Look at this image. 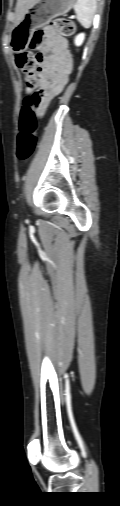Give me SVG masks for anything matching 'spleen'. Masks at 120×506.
<instances>
[{"label":"spleen","instance_id":"3e777b00","mask_svg":"<svg viewBox=\"0 0 120 506\" xmlns=\"http://www.w3.org/2000/svg\"><path fill=\"white\" fill-rule=\"evenodd\" d=\"M97 8L96 0H77L74 5V10L77 15V20L84 28H89L94 19Z\"/></svg>","mask_w":120,"mask_h":506}]
</instances>
